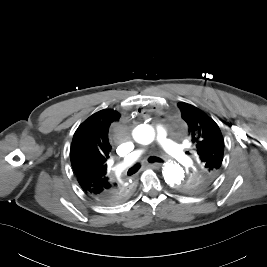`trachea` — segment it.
Returning <instances> with one entry per match:
<instances>
[{
    "label": "trachea",
    "instance_id": "trachea-1",
    "mask_svg": "<svg viewBox=\"0 0 267 267\" xmlns=\"http://www.w3.org/2000/svg\"><path fill=\"white\" fill-rule=\"evenodd\" d=\"M148 162L149 163H156V162L160 163V162H163V160L161 158H159V157L151 156V157L148 158ZM140 166L141 165L139 163L135 164L134 166L129 168L127 174L130 176V175L136 173L140 169Z\"/></svg>",
    "mask_w": 267,
    "mask_h": 267
}]
</instances>
